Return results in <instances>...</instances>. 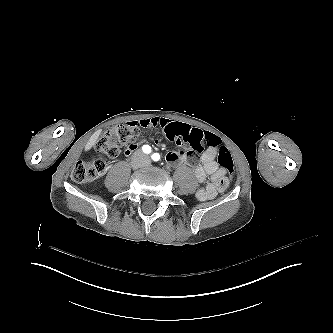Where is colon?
<instances>
[{
    "label": "colon",
    "instance_id": "5ec220e1",
    "mask_svg": "<svg viewBox=\"0 0 333 333\" xmlns=\"http://www.w3.org/2000/svg\"><path fill=\"white\" fill-rule=\"evenodd\" d=\"M162 138L169 143L183 144L199 152L218 146V138L209 133L203 127L194 128L191 124L184 122L166 123L161 130ZM138 140V131L130 127L127 123L117 125L115 128L107 131L95 143V148L102 154L110 158H116L120 154L122 146H135ZM217 161L224 171L232 174L235 169L233 157L225 146H219L217 151ZM105 169L103 159H96L89 162L79 161L72 170V179L75 182H87L99 176ZM229 178L224 177L219 181V187L224 190L228 187Z\"/></svg>",
    "mask_w": 333,
    "mask_h": 333
}]
</instances>
